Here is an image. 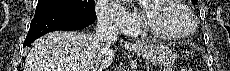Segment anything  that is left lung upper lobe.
Returning a JSON list of instances; mask_svg holds the SVG:
<instances>
[{
    "instance_id": "left-lung-upper-lobe-1",
    "label": "left lung upper lobe",
    "mask_w": 230,
    "mask_h": 71,
    "mask_svg": "<svg viewBox=\"0 0 230 71\" xmlns=\"http://www.w3.org/2000/svg\"><path fill=\"white\" fill-rule=\"evenodd\" d=\"M198 0H192V3L193 4H196Z\"/></svg>"
}]
</instances>
